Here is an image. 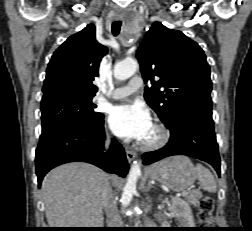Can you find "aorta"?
Here are the masks:
<instances>
[{"label": "aorta", "instance_id": "aorta-1", "mask_svg": "<svg viewBox=\"0 0 252 231\" xmlns=\"http://www.w3.org/2000/svg\"><path fill=\"white\" fill-rule=\"evenodd\" d=\"M138 67L139 65L137 61L133 59L123 60L115 64L114 69H113L114 77L117 80H126L135 74ZM140 174H141L140 162L134 161L130 169L128 179L124 186L122 197H121V202H122L123 207H127L130 204L132 197L134 193L136 192L137 178Z\"/></svg>", "mask_w": 252, "mask_h": 231}]
</instances>
